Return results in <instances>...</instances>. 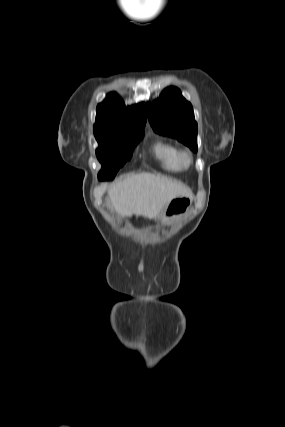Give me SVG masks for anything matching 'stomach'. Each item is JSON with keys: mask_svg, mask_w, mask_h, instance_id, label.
I'll list each match as a JSON object with an SVG mask.
<instances>
[{"mask_svg": "<svg viewBox=\"0 0 285 427\" xmlns=\"http://www.w3.org/2000/svg\"><path fill=\"white\" fill-rule=\"evenodd\" d=\"M191 199L187 197L174 198L164 210V221L168 222L172 218L186 214L191 207Z\"/></svg>", "mask_w": 285, "mask_h": 427, "instance_id": "1", "label": "stomach"}]
</instances>
